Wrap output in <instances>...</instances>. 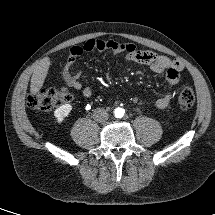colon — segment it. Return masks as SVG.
<instances>
[{"label": "colon", "mask_w": 215, "mask_h": 215, "mask_svg": "<svg viewBox=\"0 0 215 215\" xmlns=\"http://www.w3.org/2000/svg\"><path fill=\"white\" fill-rule=\"evenodd\" d=\"M73 98L66 88H45L28 98L30 107L39 110H50L63 102H69ZM195 102V93L191 86L185 87L178 98L180 108H190Z\"/></svg>", "instance_id": "5ec220e1"}]
</instances>
